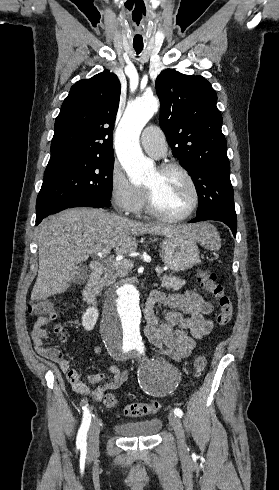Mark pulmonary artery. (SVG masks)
<instances>
[{"instance_id":"e3ab8cb5","label":"pulmonary artery","mask_w":279,"mask_h":490,"mask_svg":"<svg viewBox=\"0 0 279 490\" xmlns=\"http://www.w3.org/2000/svg\"><path fill=\"white\" fill-rule=\"evenodd\" d=\"M141 144L145 151L155 158L164 156L167 151L166 140L156 125L145 128L141 135Z\"/></svg>"}]
</instances>
